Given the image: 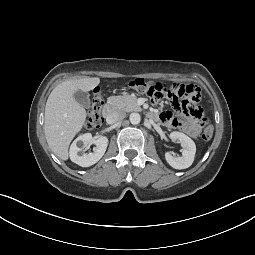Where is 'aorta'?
Listing matches in <instances>:
<instances>
[{"instance_id":"aorta-1","label":"aorta","mask_w":255,"mask_h":255,"mask_svg":"<svg viewBox=\"0 0 255 255\" xmlns=\"http://www.w3.org/2000/svg\"><path fill=\"white\" fill-rule=\"evenodd\" d=\"M129 119H130V122L133 124V125H137L140 123L141 121V117H140V114L139 113H131L130 116H129Z\"/></svg>"}]
</instances>
